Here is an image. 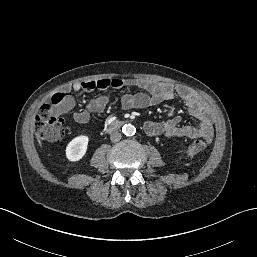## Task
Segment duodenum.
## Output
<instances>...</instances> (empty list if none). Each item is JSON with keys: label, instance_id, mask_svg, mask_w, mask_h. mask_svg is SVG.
Instances as JSON below:
<instances>
[{"label": "duodenum", "instance_id": "410a0bca", "mask_svg": "<svg viewBox=\"0 0 257 257\" xmlns=\"http://www.w3.org/2000/svg\"><path fill=\"white\" fill-rule=\"evenodd\" d=\"M124 124V122L116 120V121H112L109 123L108 125V131L112 132V131H116L119 128L122 127V125Z\"/></svg>", "mask_w": 257, "mask_h": 257}]
</instances>
